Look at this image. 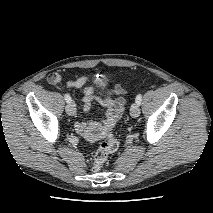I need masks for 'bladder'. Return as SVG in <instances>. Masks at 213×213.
<instances>
[{"label":"bladder","instance_id":"1","mask_svg":"<svg viewBox=\"0 0 213 213\" xmlns=\"http://www.w3.org/2000/svg\"><path fill=\"white\" fill-rule=\"evenodd\" d=\"M98 85L104 87L107 84V80L105 78H101L97 81Z\"/></svg>","mask_w":213,"mask_h":213}]
</instances>
